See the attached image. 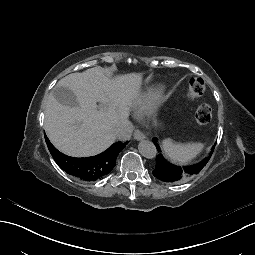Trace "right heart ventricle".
<instances>
[{
  "label": "right heart ventricle",
  "mask_w": 255,
  "mask_h": 255,
  "mask_svg": "<svg viewBox=\"0 0 255 255\" xmlns=\"http://www.w3.org/2000/svg\"><path fill=\"white\" fill-rule=\"evenodd\" d=\"M155 94L156 93L154 90H150L146 94L138 97L137 100L135 101V109L138 112L146 110L151 105L152 99Z\"/></svg>",
  "instance_id": "e07e8e85"
}]
</instances>
